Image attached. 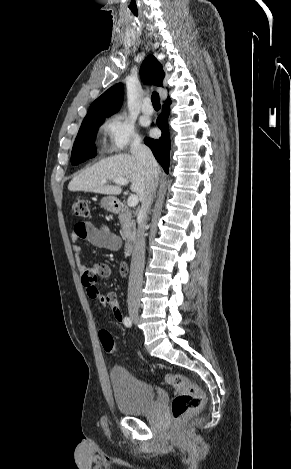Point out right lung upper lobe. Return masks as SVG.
Wrapping results in <instances>:
<instances>
[{
  "label": "right lung upper lobe",
  "instance_id": "obj_1",
  "mask_svg": "<svg viewBox=\"0 0 291 469\" xmlns=\"http://www.w3.org/2000/svg\"><path fill=\"white\" fill-rule=\"evenodd\" d=\"M140 75L143 80L162 86L165 73L157 59L153 55H149L142 63ZM123 95L121 83L112 86L91 104L84 120L111 116L119 110L123 102Z\"/></svg>",
  "mask_w": 291,
  "mask_h": 469
}]
</instances>
